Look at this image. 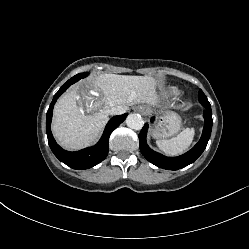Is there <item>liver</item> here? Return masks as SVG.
<instances>
[{
  "mask_svg": "<svg viewBox=\"0 0 249 249\" xmlns=\"http://www.w3.org/2000/svg\"><path fill=\"white\" fill-rule=\"evenodd\" d=\"M90 83V90L82 93V97L92 96L86 98L90 115L84 113L82 105L77 106V101L82 99L78 94L80 86L64 94L54 106L52 132L66 149L76 150L91 144L107 123L112 107L127 109L138 103L155 105L157 102L155 82L148 76L103 74Z\"/></svg>",
  "mask_w": 249,
  "mask_h": 249,
  "instance_id": "liver-1",
  "label": "liver"
}]
</instances>
